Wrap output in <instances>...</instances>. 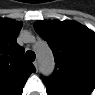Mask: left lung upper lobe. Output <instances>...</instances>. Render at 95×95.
Here are the masks:
<instances>
[{
  "instance_id": "left-lung-upper-lobe-1",
  "label": "left lung upper lobe",
  "mask_w": 95,
  "mask_h": 95,
  "mask_svg": "<svg viewBox=\"0 0 95 95\" xmlns=\"http://www.w3.org/2000/svg\"><path fill=\"white\" fill-rule=\"evenodd\" d=\"M37 33L47 41L55 71L44 78L48 94L89 95L95 88V34L75 21H38Z\"/></svg>"
}]
</instances>
